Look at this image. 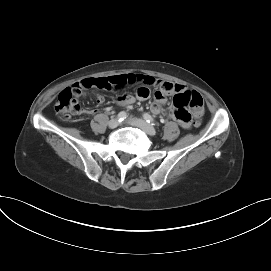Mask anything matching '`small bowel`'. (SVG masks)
<instances>
[{"mask_svg": "<svg viewBox=\"0 0 271 271\" xmlns=\"http://www.w3.org/2000/svg\"><path fill=\"white\" fill-rule=\"evenodd\" d=\"M83 83L95 82V86L99 90H104L107 93L116 96V101L119 105L127 106L134 104L136 101H145L150 95V87H155L154 101L151 105V111L154 114L165 112L167 116L179 122L182 128L188 129L191 127V114L184 108L177 107L173 104L171 107L164 109L166 97L170 95H183L190 91L180 84L156 79L149 75L139 73H127L120 75H111L108 77L89 78L82 81ZM141 83L142 86L137 90L135 95L126 94L130 85ZM97 102L102 103L104 98L100 94H96ZM94 113L95 110L89 111Z\"/></svg>", "mask_w": 271, "mask_h": 271, "instance_id": "c3829d8e", "label": "small bowel"}]
</instances>
